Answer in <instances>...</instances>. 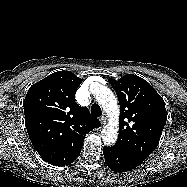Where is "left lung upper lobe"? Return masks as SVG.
<instances>
[{
  "mask_svg": "<svg viewBox=\"0 0 187 187\" xmlns=\"http://www.w3.org/2000/svg\"><path fill=\"white\" fill-rule=\"evenodd\" d=\"M120 104L119 137L115 147L144 161L157 147L167 119L163 98L143 78L126 74L109 79Z\"/></svg>",
  "mask_w": 187,
  "mask_h": 187,
  "instance_id": "left-lung-upper-lobe-1",
  "label": "left lung upper lobe"
}]
</instances>
